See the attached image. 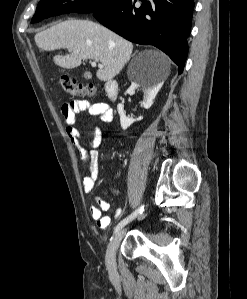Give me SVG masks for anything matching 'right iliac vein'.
Wrapping results in <instances>:
<instances>
[{
  "label": "right iliac vein",
  "instance_id": "63e3f726",
  "mask_svg": "<svg viewBox=\"0 0 247 299\" xmlns=\"http://www.w3.org/2000/svg\"><path fill=\"white\" fill-rule=\"evenodd\" d=\"M126 230L127 229L124 228V229H121L120 231H118L107 248L106 262H107L110 270H113L115 267L116 252H117V249L126 233Z\"/></svg>",
  "mask_w": 247,
  "mask_h": 299
}]
</instances>
